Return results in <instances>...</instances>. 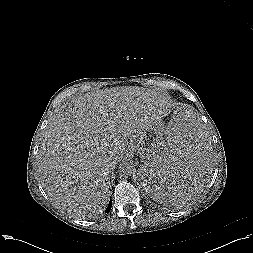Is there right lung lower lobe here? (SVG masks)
Masks as SVG:
<instances>
[{"mask_svg": "<svg viewBox=\"0 0 253 253\" xmlns=\"http://www.w3.org/2000/svg\"><path fill=\"white\" fill-rule=\"evenodd\" d=\"M111 206H112V203H111V200H110V202H109V204H108V207H107L106 210H105V213H109V212H110Z\"/></svg>", "mask_w": 253, "mask_h": 253, "instance_id": "1", "label": "right lung lower lobe"}]
</instances>
